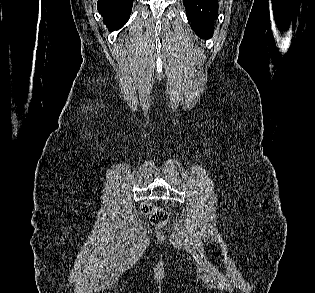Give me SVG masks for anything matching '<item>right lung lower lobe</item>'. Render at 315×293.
I'll return each instance as SVG.
<instances>
[{
	"instance_id": "1",
	"label": "right lung lower lobe",
	"mask_w": 315,
	"mask_h": 293,
	"mask_svg": "<svg viewBox=\"0 0 315 293\" xmlns=\"http://www.w3.org/2000/svg\"><path fill=\"white\" fill-rule=\"evenodd\" d=\"M133 0H98L97 8L110 31L122 27L128 20Z\"/></svg>"
}]
</instances>
